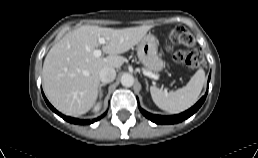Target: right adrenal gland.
<instances>
[{
  "label": "right adrenal gland",
  "mask_w": 258,
  "mask_h": 158,
  "mask_svg": "<svg viewBox=\"0 0 258 158\" xmlns=\"http://www.w3.org/2000/svg\"><path fill=\"white\" fill-rule=\"evenodd\" d=\"M105 85H106V83L100 84V86H99V97H102V95H103L102 87L105 86Z\"/></svg>",
  "instance_id": "obj_1"
}]
</instances>
